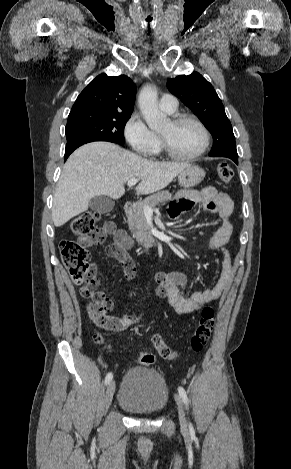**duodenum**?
Instances as JSON below:
<instances>
[{
  "instance_id": "410a0bca",
  "label": "duodenum",
  "mask_w": 291,
  "mask_h": 469,
  "mask_svg": "<svg viewBox=\"0 0 291 469\" xmlns=\"http://www.w3.org/2000/svg\"><path fill=\"white\" fill-rule=\"evenodd\" d=\"M133 209H134V205L132 202H126L125 205H124V212L126 215H130L132 214L133 212Z\"/></svg>"
}]
</instances>
